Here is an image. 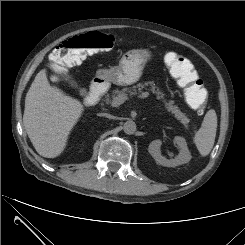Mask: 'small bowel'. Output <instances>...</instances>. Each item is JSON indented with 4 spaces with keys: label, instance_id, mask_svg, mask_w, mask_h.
Here are the masks:
<instances>
[{
    "label": "small bowel",
    "instance_id": "c3829d8e",
    "mask_svg": "<svg viewBox=\"0 0 245 245\" xmlns=\"http://www.w3.org/2000/svg\"><path fill=\"white\" fill-rule=\"evenodd\" d=\"M170 54H175V53H169V54H167V56H166V61H167V58H168V56H169ZM184 72H185V74H187V75H191V76H193L194 78H198L197 73H196V71H195L193 65H192L191 62H190L188 59H186V58H185V69H184Z\"/></svg>",
    "mask_w": 245,
    "mask_h": 245
}]
</instances>
